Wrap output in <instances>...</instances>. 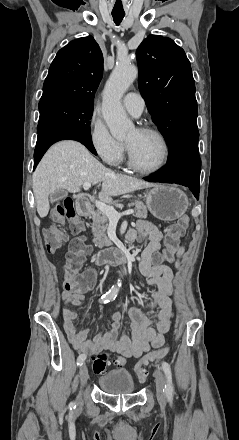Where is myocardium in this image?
Returning a JSON list of instances; mask_svg holds the SVG:
<instances>
[{
  "mask_svg": "<svg viewBox=\"0 0 239 440\" xmlns=\"http://www.w3.org/2000/svg\"><path fill=\"white\" fill-rule=\"evenodd\" d=\"M137 130L142 133H147V134H152V135L157 136L163 144L164 157H163V160L160 163V165L157 166L156 168L144 169L137 164L132 150L130 149L129 145L126 143L128 164H129L130 168L132 170H134L135 172L140 173V174H144V175H153V174L159 173L160 171H162L166 167V165L168 164V161L170 159V155H171V147H170V143H169L167 137L157 128L150 127V126H142V127H139Z\"/></svg>",
  "mask_w": 239,
  "mask_h": 440,
  "instance_id": "f54148a6",
  "label": "myocardium"
}]
</instances>
